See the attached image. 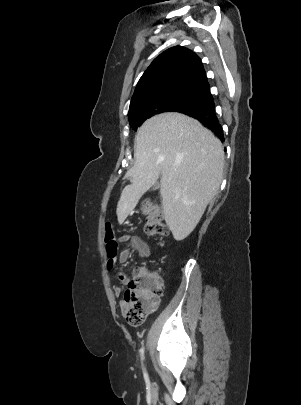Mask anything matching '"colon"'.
<instances>
[{"instance_id": "5ec220e1", "label": "colon", "mask_w": 301, "mask_h": 405, "mask_svg": "<svg viewBox=\"0 0 301 405\" xmlns=\"http://www.w3.org/2000/svg\"><path fill=\"white\" fill-rule=\"evenodd\" d=\"M146 215L144 227L145 234L149 237H165L168 227L162 211L149 202L142 206ZM104 238L108 256L114 257L118 252V244L114 238L113 226L110 222L104 225ZM162 295V280L159 275L143 268L133 272L120 303L122 313L132 327L140 326L148 314L156 309Z\"/></svg>"}]
</instances>
